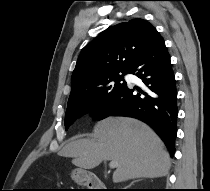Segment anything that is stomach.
Listing matches in <instances>:
<instances>
[{
	"label": "stomach",
	"mask_w": 210,
	"mask_h": 191,
	"mask_svg": "<svg viewBox=\"0 0 210 191\" xmlns=\"http://www.w3.org/2000/svg\"><path fill=\"white\" fill-rule=\"evenodd\" d=\"M91 174L83 169H76L72 172V179L80 185H87Z\"/></svg>",
	"instance_id": "stomach-1"
}]
</instances>
